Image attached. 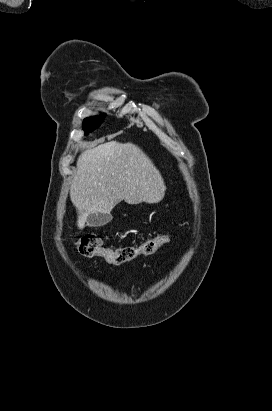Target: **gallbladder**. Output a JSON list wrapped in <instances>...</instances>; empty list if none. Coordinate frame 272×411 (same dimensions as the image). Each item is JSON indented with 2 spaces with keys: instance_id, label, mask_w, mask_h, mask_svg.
<instances>
[{
  "instance_id": "1",
  "label": "gallbladder",
  "mask_w": 272,
  "mask_h": 411,
  "mask_svg": "<svg viewBox=\"0 0 272 411\" xmlns=\"http://www.w3.org/2000/svg\"><path fill=\"white\" fill-rule=\"evenodd\" d=\"M111 217L109 214H102L98 212H91L87 216V223L91 227H100L106 225L110 221Z\"/></svg>"
}]
</instances>
